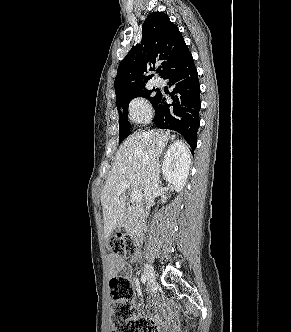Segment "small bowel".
Instances as JSON below:
<instances>
[{"instance_id":"1","label":"small bowel","mask_w":291,"mask_h":332,"mask_svg":"<svg viewBox=\"0 0 291 332\" xmlns=\"http://www.w3.org/2000/svg\"><path fill=\"white\" fill-rule=\"evenodd\" d=\"M109 264H110V271L112 274H117L118 272H125L126 274H129L130 272V267L121 258L115 257V256H110L109 257ZM155 322H161V319L159 316H156L154 318ZM162 326L167 328L170 326V322L162 323Z\"/></svg>"}]
</instances>
